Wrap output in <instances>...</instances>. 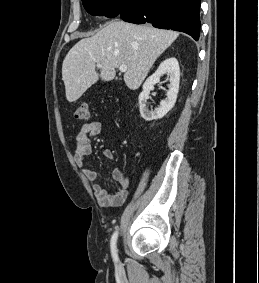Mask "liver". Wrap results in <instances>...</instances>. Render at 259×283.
Listing matches in <instances>:
<instances>
[{"label": "liver", "mask_w": 259, "mask_h": 283, "mask_svg": "<svg viewBox=\"0 0 259 283\" xmlns=\"http://www.w3.org/2000/svg\"><path fill=\"white\" fill-rule=\"evenodd\" d=\"M179 33L112 21L91 37L81 39L66 55L62 64L66 98L78 100L99 78L111 81L115 69L127 66L124 81L131 90L140 87L156 59L175 41ZM100 63V74L96 64Z\"/></svg>", "instance_id": "liver-1"}]
</instances>
